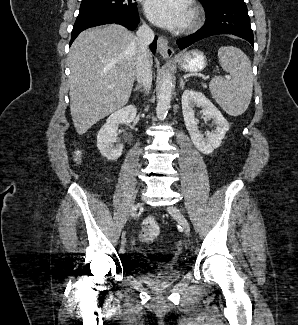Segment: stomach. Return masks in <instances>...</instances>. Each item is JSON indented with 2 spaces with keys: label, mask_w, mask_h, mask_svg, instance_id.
<instances>
[{
  "label": "stomach",
  "mask_w": 298,
  "mask_h": 325,
  "mask_svg": "<svg viewBox=\"0 0 298 325\" xmlns=\"http://www.w3.org/2000/svg\"><path fill=\"white\" fill-rule=\"evenodd\" d=\"M173 62H177L178 68L183 72H201L207 66V56L202 50L193 48V50L181 52Z\"/></svg>",
  "instance_id": "1"
}]
</instances>
